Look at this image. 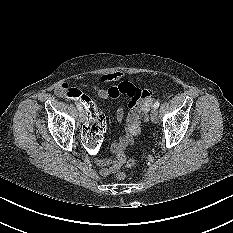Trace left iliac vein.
Segmentation results:
<instances>
[{"label": "left iliac vein", "instance_id": "obj_1", "mask_svg": "<svg viewBox=\"0 0 233 233\" xmlns=\"http://www.w3.org/2000/svg\"><path fill=\"white\" fill-rule=\"evenodd\" d=\"M151 121L153 123L158 122V112H157L156 108H153L152 111H151Z\"/></svg>", "mask_w": 233, "mask_h": 233}]
</instances>
